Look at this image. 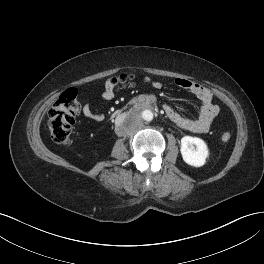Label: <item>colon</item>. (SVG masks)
I'll use <instances>...</instances> for the list:
<instances>
[{"label": "colon", "instance_id": "5ec220e1", "mask_svg": "<svg viewBox=\"0 0 264 264\" xmlns=\"http://www.w3.org/2000/svg\"><path fill=\"white\" fill-rule=\"evenodd\" d=\"M135 85V77L126 74L113 77L105 83V87H109L114 92L131 88ZM76 97L77 93L74 89L66 90L60 95L49 111L48 128L50 135L59 144H68L71 141L73 126L79 112V104ZM230 138L231 134L228 131L221 134V139L224 142L229 141Z\"/></svg>", "mask_w": 264, "mask_h": 264}]
</instances>
